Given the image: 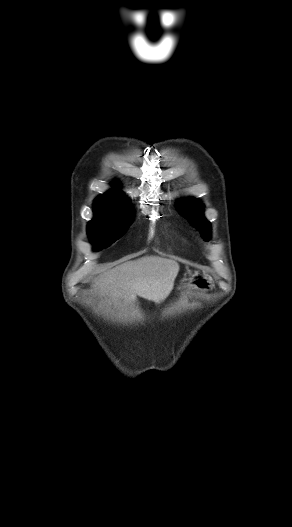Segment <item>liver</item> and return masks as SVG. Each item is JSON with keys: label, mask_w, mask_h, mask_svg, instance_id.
<instances>
[{"label": "liver", "mask_w": 292, "mask_h": 527, "mask_svg": "<svg viewBox=\"0 0 292 527\" xmlns=\"http://www.w3.org/2000/svg\"><path fill=\"white\" fill-rule=\"evenodd\" d=\"M179 264L159 256H144L102 273L93 287L101 296L114 301L135 303L140 296L155 303L163 302L173 289Z\"/></svg>", "instance_id": "6515ba94"}]
</instances>
